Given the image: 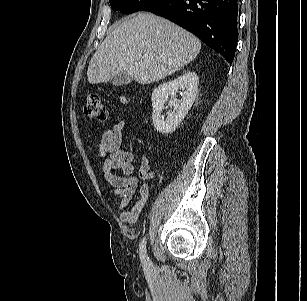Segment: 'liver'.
Returning a JSON list of instances; mask_svg holds the SVG:
<instances>
[{
	"label": "liver",
	"instance_id": "liver-1",
	"mask_svg": "<svg viewBox=\"0 0 307 301\" xmlns=\"http://www.w3.org/2000/svg\"><path fill=\"white\" fill-rule=\"evenodd\" d=\"M200 49L192 33L154 14L138 13L101 43L89 62L88 81L105 83L125 73L140 84L157 82L190 63Z\"/></svg>",
	"mask_w": 307,
	"mask_h": 301
}]
</instances>
